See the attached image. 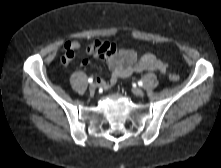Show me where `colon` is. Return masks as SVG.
<instances>
[{
	"label": "colon",
	"mask_w": 221,
	"mask_h": 168,
	"mask_svg": "<svg viewBox=\"0 0 221 168\" xmlns=\"http://www.w3.org/2000/svg\"><path fill=\"white\" fill-rule=\"evenodd\" d=\"M169 79L173 82H178L180 77L176 73H169Z\"/></svg>",
	"instance_id": "colon-1"
}]
</instances>
